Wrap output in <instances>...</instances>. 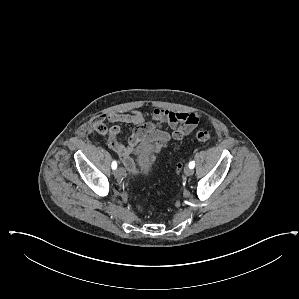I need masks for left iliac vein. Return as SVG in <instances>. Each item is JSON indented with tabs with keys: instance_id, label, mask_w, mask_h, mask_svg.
<instances>
[{
	"instance_id": "left-iliac-vein-1",
	"label": "left iliac vein",
	"mask_w": 299,
	"mask_h": 299,
	"mask_svg": "<svg viewBox=\"0 0 299 299\" xmlns=\"http://www.w3.org/2000/svg\"><path fill=\"white\" fill-rule=\"evenodd\" d=\"M184 173L186 176H191V175H193V169L186 167L184 170Z\"/></svg>"
}]
</instances>
